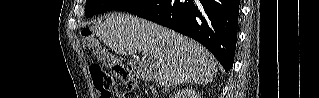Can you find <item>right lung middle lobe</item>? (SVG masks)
<instances>
[{"label":"right lung middle lobe","mask_w":319,"mask_h":98,"mask_svg":"<svg viewBox=\"0 0 319 98\" xmlns=\"http://www.w3.org/2000/svg\"><path fill=\"white\" fill-rule=\"evenodd\" d=\"M149 0H86L87 17L111 10H131L145 5Z\"/></svg>","instance_id":"right-lung-middle-lobe-1"}]
</instances>
